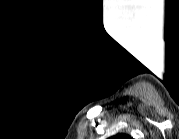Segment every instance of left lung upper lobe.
Listing matches in <instances>:
<instances>
[{"instance_id": "left-lung-upper-lobe-1", "label": "left lung upper lobe", "mask_w": 179, "mask_h": 139, "mask_svg": "<svg viewBox=\"0 0 179 139\" xmlns=\"http://www.w3.org/2000/svg\"><path fill=\"white\" fill-rule=\"evenodd\" d=\"M116 138H117V139H131L130 136L125 135V134H118V135L116 136Z\"/></svg>"}]
</instances>
